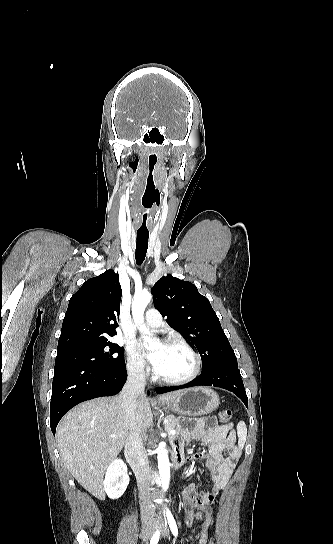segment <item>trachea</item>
Wrapping results in <instances>:
<instances>
[{
  "label": "trachea",
  "instance_id": "trachea-1",
  "mask_svg": "<svg viewBox=\"0 0 333 544\" xmlns=\"http://www.w3.org/2000/svg\"><path fill=\"white\" fill-rule=\"evenodd\" d=\"M148 239L149 234L137 233L135 258L138 265H141L146 257Z\"/></svg>",
  "mask_w": 333,
  "mask_h": 544
}]
</instances>
